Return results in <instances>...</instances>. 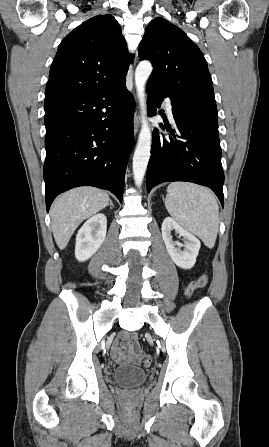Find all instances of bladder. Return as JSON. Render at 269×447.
Listing matches in <instances>:
<instances>
[{"label":"bladder","instance_id":"bladder-1","mask_svg":"<svg viewBox=\"0 0 269 447\" xmlns=\"http://www.w3.org/2000/svg\"><path fill=\"white\" fill-rule=\"evenodd\" d=\"M147 372L132 365L118 366L112 373L115 384L127 387H137L147 380Z\"/></svg>","mask_w":269,"mask_h":447}]
</instances>
